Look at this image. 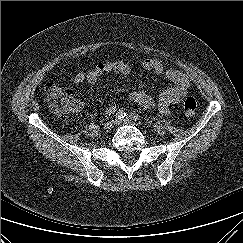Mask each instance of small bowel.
I'll list each match as a JSON object with an SVG mask.
<instances>
[{
  "instance_id": "obj_1",
  "label": "small bowel",
  "mask_w": 243,
  "mask_h": 243,
  "mask_svg": "<svg viewBox=\"0 0 243 243\" xmlns=\"http://www.w3.org/2000/svg\"><path fill=\"white\" fill-rule=\"evenodd\" d=\"M142 68L147 72H152L157 76L165 78L172 84V86L163 90L157 100H154L143 90L132 92L127 98L145 109L157 107L161 113L167 114L170 106L179 103L187 94L190 86L187 76L180 71L166 69L162 62L155 58L145 59L142 62ZM130 72V65L123 60L101 62L94 65L88 72L78 73L73 79V84L75 86H80L84 82H88L89 84L94 85L103 75L114 73L125 76ZM115 110L116 107L112 105L106 109V112L112 114Z\"/></svg>"
}]
</instances>
